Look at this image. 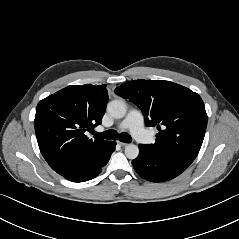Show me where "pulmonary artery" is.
Instances as JSON below:
<instances>
[{"label":"pulmonary artery","instance_id":"e3ab8cb5","mask_svg":"<svg viewBox=\"0 0 239 239\" xmlns=\"http://www.w3.org/2000/svg\"><path fill=\"white\" fill-rule=\"evenodd\" d=\"M119 129H128L133 136L143 143L152 142L153 138L144 128L143 116L138 110H131L118 126Z\"/></svg>","mask_w":239,"mask_h":239}]
</instances>
